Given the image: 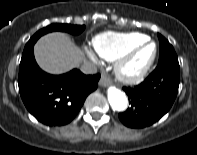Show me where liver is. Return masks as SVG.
Instances as JSON below:
<instances>
[{
    "label": "liver",
    "instance_id": "1",
    "mask_svg": "<svg viewBox=\"0 0 197 155\" xmlns=\"http://www.w3.org/2000/svg\"><path fill=\"white\" fill-rule=\"evenodd\" d=\"M39 66L51 74H61L77 67L85 60L83 52L64 33L42 36L34 47Z\"/></svg>",
    "mask_w": 197,
    "mask_h": 155
}]
</instances>
